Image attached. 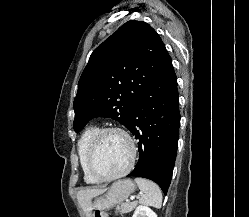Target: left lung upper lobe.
Wrapping results in <instances>:
<instances>
[{
    "label": "left lung upper lobe",
    "mask_w": 249,
    "mask_h": 217,
    "mask_svg": "<svg viewBox=\"0 0 249 217\" xmlns=\"http://www.w3.org/2000/svg\"><path fill=\"white\" fill-rule=\"evenodd\" d=\"M169 57L148 23L123 24L93 51L80 77L74 100L75 132L94 117H110L128 128L134 106Z\"/></svg>",
    "instance_id": "5c2ea615"
}]
</instances>
